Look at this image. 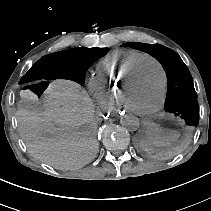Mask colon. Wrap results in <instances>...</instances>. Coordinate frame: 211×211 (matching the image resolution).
Segmentation results:
<instances>
[{"label":"colon","instance_id":"obj_1","mask_svg":"<svg viewBox=\"0 0 211 211\" xmlns=\"http://www.w3.org/2000/svg\"><path fill=\"white\" fill-rule=\"evenodd\" d=\"M48 84L45 81H38L25 86L21 92V98L24 101H36L47 90Z\"/></svg>","mask_w":211,"mask_h":211}]
</instances>
